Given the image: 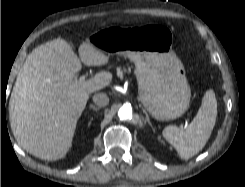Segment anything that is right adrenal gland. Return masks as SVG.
<instances>
[{
  "label": "right adrenal gland",
  "instance_id": "2a0ac1e0",
  "mask_svg": "<svg viewBox=\"0 0 245 187\" xmlns=\"http://www.w3.org/2000/svg\"><path fill=\"white\" fill-rule=\"evenodd\" d=\"M89 108L94 110V111H98L100 109V107H95L94 105H90Z\"/></svg>",
  "mask_w": 245,
  "mask_h": 187
}]
</instances>
